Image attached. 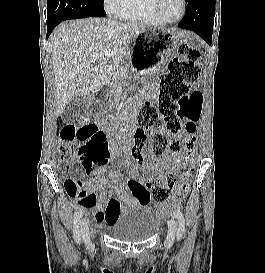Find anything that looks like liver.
I'll list each match as a JSON object with an SVG mask.
<instances>
[{
    "mask_svg": "<svg viewBox=\"0 0 265 273\" xmlns=\"http://www.w3.org/2000/svg\"><path fill=\"white\" fill-rule=\"evenodd\" d=\"M141 29L139 23L87 18L64 22L53 31L57 115L73 98L91 96L109 84Z\"/></svg>",
    "mask_w": 265,
    "mask_h": 273,
    "instance_id": "6515ba94",
    "label": "liver"
}]
</instances>
